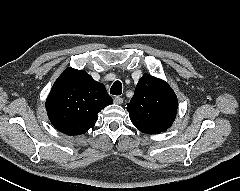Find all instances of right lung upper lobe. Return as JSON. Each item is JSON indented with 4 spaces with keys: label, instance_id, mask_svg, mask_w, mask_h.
Segmentation results:
<instances>
[{
    "label": "right lung upper lobe",
    "instance_id": "cb5924a9",
    "mask_svg": "<svg viewBox=\"0 0 240 191\" xmlns=\"http://www.w3.org/2000/svg\"><path fill=\"white\" fill-rule=\"evenodd\" d=\"M112 103L102 83L83 70L67 68L55 81L46 100V110L57 130L79 135L92 128L97 114Z\"/></svg>",
    "mask_w": 240,
    "mask_h": 191
}]
</instances>
